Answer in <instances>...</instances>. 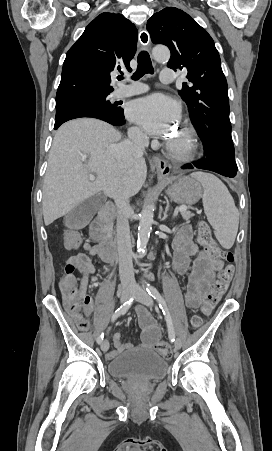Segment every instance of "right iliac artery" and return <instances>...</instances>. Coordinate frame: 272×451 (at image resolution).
Returning a JSON list of instances; mask_svg holds the SVG:
<instances>
[{
    "mask_svg": "<svg viewBox=\"0 0 272 451\" xmlns=\"http://www.w3.org/2000/svg\"><path fill=\"white\" fill-rule=\"evenodd\" d=\"M133 301H134V298H131L128 301H126L123 305H121L112 315L111 321L114 322L119 316L125 314L131 307ZM103 338H104V333H102L97 338V343L100 344L102 342Z\"/></svg>",
    "mask_w": 272,
    "mask_h": 451,
    "instance_id": "82829eb1",
    "label": "right iliac artery"
}]
</instances>
